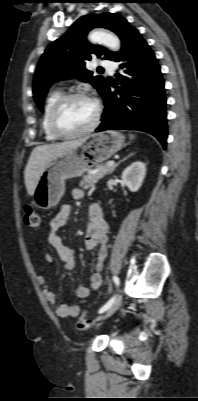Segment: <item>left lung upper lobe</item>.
<instances>
[{"mask_svg":"<svg viewBox=\"0 0 198 401\" xmlns=\"http://www.w3.org/2000/svg\"><path fill=\"white\" fill-rule=\"evenodd\" d=\"M96 27H103L116 33L122 41V50L135 29L125 18L112 13L79 18L60 39L49 45L39 60L33 81V96L40 110H43V101L48 88L57 80L75 77L89 82L102 94L106 85L105 78L93 75V72L87 70L84 67V60H90L91 53L98 57L104 55V59L115 60L121 52H111L102 46L90 44L86 40V35Z\"/></svg>","mask_w":198,"mask_h":401,"instance_id":"5c2ea615","label":"left lung upper lobe"}]
</instances>
